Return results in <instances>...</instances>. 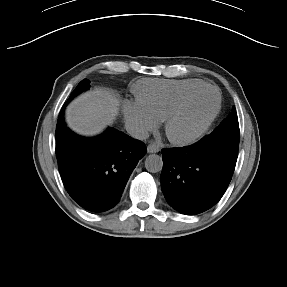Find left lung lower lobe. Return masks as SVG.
<instances>
[{
    "label": "left lung lower lobe",
    "mask_w": 287,
    "mask_h": 287,
    "mask_svg": "<svg viewBox=\"0 0 287 287\" xmlns=\"http://www.w3.org/2000/svg\"><path fill=\"white\" fill-rule=\"evenodd\" d=\"M162 192L175 210L194 215L215 205L225 193L237 161L238 148L209 135L183 147L163 149Z\"/></svg>",
    "instance_id": "left-lung-lower-lobe-1"
}]
</instances>
